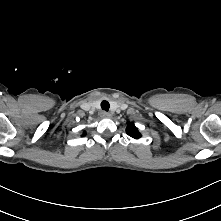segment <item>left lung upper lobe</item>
Instances as JSON below:
<instances>
[{
  "label": "left lung upper lobe",
  "instance_id": "1",
  "mask_svg": "<svg viewBox=\"0 0 221 221\" xmlns=\"http://www.w3.org/2000/svg\"><path fill=\"white\" fill-rule=\"evenodd\" d=\"M127 134L133 138H140L141 134L139 133L138 129L135 127L134 123H129L127 126Z\"/></svg>",
  "mask_w": 221,
  "mask_h": 221
}]
</instances>
